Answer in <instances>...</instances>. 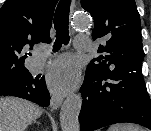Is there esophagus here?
<instances>
[{
    "label": "esophagus",
    "mask_w": 151,
    "mask_h": 131,
    "mask_svg": "<svg viewBox=\"0 0 151 131\" xmlns=\"http://www.w3.org/2000/svg\"><path fill=\"white\" fill-rule=\"evenodd\" d=\"M75 5V0H72L71 6L72 8ZM63 101V97L60 95H53L50 100V106L52 109H58Z\"/></svg>",
    "instance_id": "esophagus-1"
}]
</instances>
